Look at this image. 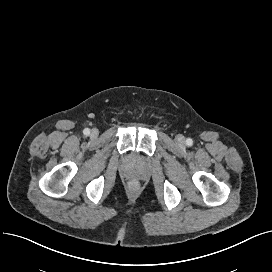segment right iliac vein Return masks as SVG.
Masks as SVG:
<instances>
[{
	"mask_svg": "<svg viewBox=\"0 0 272 272\" xmlns=\"http://www.w3.org/2000/svg\"><path fill=\"white\" fill-rule=\"evenodd\" d=\"M97 135H98V130H97V129H93V130L91 131V136H92V137H97Z\"/></svg>",
	"mask_w": 272,
	"mask_h": 272,
	"instance_id": "1",
	"label": "right iliac vein"
}]
</instances>
